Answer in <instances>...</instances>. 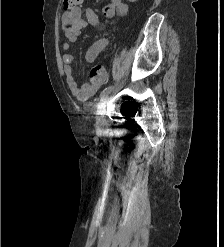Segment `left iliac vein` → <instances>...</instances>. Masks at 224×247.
<instances>
[{
    "label": "left iliac vein",
    "mask_w": 224,
    "mask_h": 247,
    "mask_svg": "<svg viewBox=\"0 0 224 247\" xmlns=\"http://www.w3.org/2000/svg\"><path fill=\"white\" fill-rule=\"evenodd\" d=\"M109 99H110V92L101 96V100H100L99 105H98V113H97V118H96V128L99 131H102L105 127L104 114H105V108H106V105L108 104Z\"/></svg>",
    "instance_id": "4c4485c4"
}]
</instances>
